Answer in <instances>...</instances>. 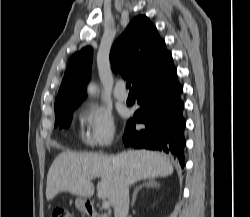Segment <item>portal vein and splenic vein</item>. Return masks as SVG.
Returning <instances> with one entry per match:
<instances>
[{"instance_id":"18ae733b","label":"portal vein and splenic vein","mask_w":250,"mask_h":217,"mask_svg":"<svg viewBox=\"0 0 250 217\" xmlns=\"http://www.w3.org/2000/svg\"><path fill=\"white\" fill-rule=\"evenodd\" d=\"M110 207L109 201L104 200L102 203V208L103 209H108Z\"/></svg>"}]
</instances>
